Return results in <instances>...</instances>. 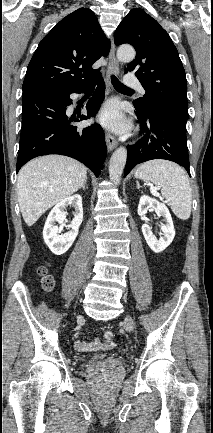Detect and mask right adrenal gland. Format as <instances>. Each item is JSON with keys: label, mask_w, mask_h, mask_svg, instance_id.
<instances>
[{"label": "right adrenal gland", "mask_w": 213, "mask_h": 433, "mask_svg": "<svg viewBox=\"0 0 213 433\" xmlns=\"http://www.w3.org/2000/svg\"><path fill=\"white\" fill-rule=\"evenodd\" d=\"M81 188H82L83 190H86V182L83 183V185L81 186Z\"/></svg>", "instance_id": "obj_1"}]
</instances>
